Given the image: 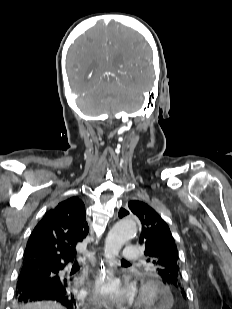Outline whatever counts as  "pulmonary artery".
Segmentation results:
<instances>
[{"mask_svg": "<svg viewBox=\"0 0 232 309\" xmlns=\"http://www.w3.org/2000/svg\"><path fill=\"white\" fill-rule=\"evenodd\" d=\"M123 257L128 261H136L138 259V250L135 246L126 247L122 253Z\"/></svg>", "mask_w": 232, "mask_h": 309, "instance_id": "e3ab8cb5", "label": "pulmonary artery"}]
</instances>
